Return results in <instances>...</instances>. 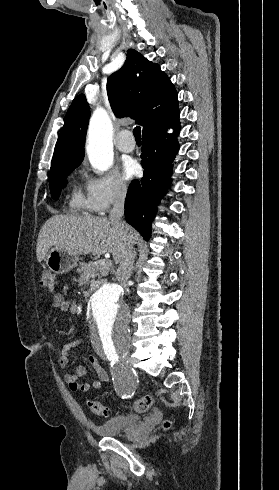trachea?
Masks as SVG:
<instances>
[{"label":"trachea","instance_id":"obj_1","mask_svg":"<svg viewBox=\"0 0 279 490\" xmlns=\"http://www.w3.org/2000/svg\"><path fill=\"white\" fill-rule=\"evenodd\" d=\"M133 135H134L136 141H141V129H140V127L134 128Z\"/></svg>","mask_w":279,"mask_h":490}]
</instances>
